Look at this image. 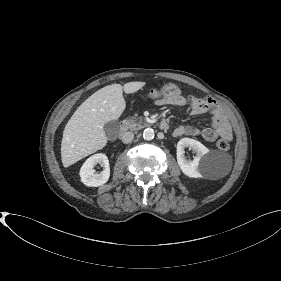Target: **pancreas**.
<instances>
[{"label": "pancreas", "mask_w": 281, "mask_h": 281, "mask_svg": "<svg viewBox=\"0 0 281 281\" xmlns=\"http://www.w3.org/2000/svg\"><path fill=\"white\" fill-rule=\"evenodd\" d=\"M124 124L128 129L132 131L140 130L146 125L143 118H136V117L125 119Z\"/></svg>", "instance_id": "pancreas-1"}]
</instances>
